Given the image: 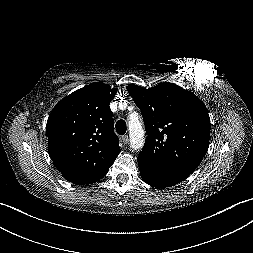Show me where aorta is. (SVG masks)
<instances>
[{
	"label": "aorta",
	"instance_id": "obj_1",
	"mask_svg": "<svg viewBox=\"0 0 253 253\" xmlns=\"http://www.w3.org/2000/svg\"><path fill=\"white\" fill-rule=\"evenodd\" d=\"M129 135H130V147L134 150H139L144 145V130L141 122L137 118H133L129 121Z\"/></svg>",
	"mask_w": 253,
	"mask_h": 253
}]
</instances>
